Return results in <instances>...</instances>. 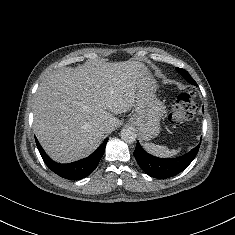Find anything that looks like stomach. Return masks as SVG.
<instances>
[{
	"label": "stomach",
	"mask_w": 235,
	"mask_h": 235,
	"mask_svg": "<svg viewBox=\"0 0 235 235\" xmlns=\"http://www.w3.org/2000/svg\"><path fill=\"white\" fill-rule=\"evenodd\" d=\"M158 85L148 70L137 80L135 113L129 123L136 126L145 141L160 132V120L165 114V106L156 97Z\"/></svg>",
	"instance_id": "1"
}]
</instances>
